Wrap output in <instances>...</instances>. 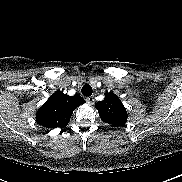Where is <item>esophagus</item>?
Returning <instances> with one entry per match:
<instances>
[{
  "label": "esophagus",
  "mask_w": 182,
  "mask_h": 182,
  "mask_svg": "<svg viewBox=\"0 0 182 182\" xmlns=\"http://www.w3.org/2000/svg\"><path fill=\"white\" fill-rule=\"evenodd\" d=\"M86 101L89 104H94L95 98H94V96H89V97L86 98Z\"/></svg>",
  "instance_id": "34e87169"
}]
</instances>
